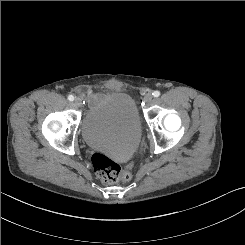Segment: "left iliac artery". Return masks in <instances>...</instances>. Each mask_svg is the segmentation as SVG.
<instances>
[{
  "mask_svg": "<svg viewBox=\"0 0 245 245\" xmlns=\"http://www.w3.org/2000/svg\"><path fill=\"white\" fill-rule=\"evenodd\" d=\"M152 95L154 96V97H159L160 96V92L159 91H154L153 93H152Z\"/></svg>",
  "mask_w": 245,
  "mask_h": 245,
  "instance_id": "obj_1",
  "label": "left iliac artery"
}]
</instances>
